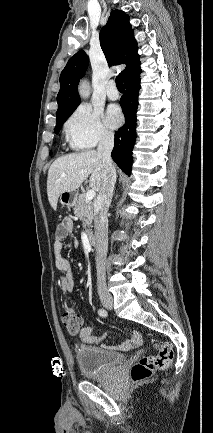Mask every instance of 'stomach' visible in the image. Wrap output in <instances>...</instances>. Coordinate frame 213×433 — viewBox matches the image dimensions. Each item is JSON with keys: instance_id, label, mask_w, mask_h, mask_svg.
I'll return each mask as SVG.
<instances>
[{"instance_id": "obj_1", "label": "stomach", "mask_w": 213, "mask_h": 433, "mask_svg": "<svg viewBox=\"0 0 213 433\" xmlns=\"http://www.w3.org/2000/svg\"><path fill=\"white\" fill-rule=\"evenodd\" d=\"M76 199V195L74 192H64L60 195V201L63 205L71 206Z\"/></svg>"}]
</instances>
